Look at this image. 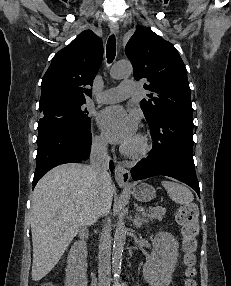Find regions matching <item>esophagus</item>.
<instances>
[{
	"label": "esophagus",
	"mask_w": 231,
	"mask_h": 286,
	"mask_svg": "<svg viewBox=\"0 0 231 286\" xmlns=\"http://www.w3.org/2000/svg\"><path fill=\"white\" fill-rule=\"evenodd\" d=\"M109 28H110L111 33H118L119 26L116 22H110ZM115 180L119 186H126L129 184L130 173L121 164H117L115 166Z\"/></svg>",
	"instance_id": "esophagus-1"
}]
</instances>
